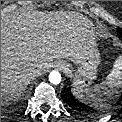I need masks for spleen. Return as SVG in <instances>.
I'll use <instances>...</instances> for the list:
<instances>
[{"mask_svg": "<svg viewBox=\"0 0 122 122\" xmlns=\"http://www.w3.org/2000/svg\"><path fill=\"white\" fill-rule=\"evenodd\" d=\"M122 87V56H119L111 72L100 84L92 87H82L73 85L72 94L81 102L88 104L96 109L108 106V100L118 97Z\"/></svg>", "mask_w": 122, "mask_h": 122, "instance_id": "obj_1", "label": "spleen"}]
</instances>
